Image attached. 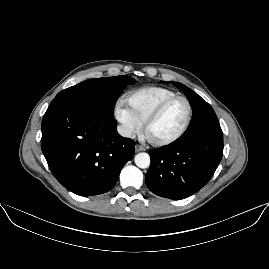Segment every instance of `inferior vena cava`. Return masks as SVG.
Listing matches in <instances>:
<instances>
[{
  "mask_svg": "<svg viewBox=\"0 0 269 269\" xmlns=\"http://www.w3.org/2000/svg\"><path fill=\"white\" fill-rule=\"evenodd\" d=\"M117 131H118L119 135H121L123 137L130 138L132 136V130L126 126L119 125L117 127Z\"/></svg>",
  "mask_w": 269,
  "mask_h": 269,
  "instance_id": "1",
  "label": "inferior vena cava"
}]
</instances>
